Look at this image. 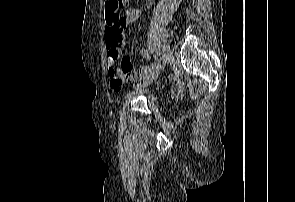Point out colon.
<instances>
[{"label":"colon","mask_w":295,"mask_h":202,"mask_svg":"<svg viewBox=\"0 0 295 202\" xmlns=\"http://www.w3.org/2000/svg\"><path fill=\"white\" fill-rule=\"evenodd\" d=\"M126 3L127 0H106L107 14L111 16V19L119 20L123 16L121 10L123 9Z\"/></svg>","instance_id":"colon-1"}]
</instances>
